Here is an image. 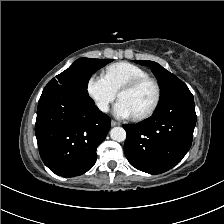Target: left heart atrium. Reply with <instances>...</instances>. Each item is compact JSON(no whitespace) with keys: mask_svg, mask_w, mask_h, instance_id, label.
<instances>
[{"mask_svg":"<svg viewBox=\"0 0 224 224\" xmlns=\"http://www.w3.org/2000/svg\"><path fill=\"white\" fill-rule=\"evenodd\" d=\"M113 113L116 117L123 119L135 117V114L130 109V107L123 100L120 99L114 105Z\"/></svg>","mask_w":224,"mask_h":224,"instance_id":"1","label":"left heart atrium"}]
</instances>
